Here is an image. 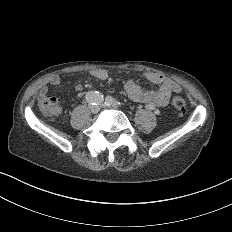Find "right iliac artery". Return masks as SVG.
Returning <instances> with one entry per match:
<instances>
[{
    "instance_id": "right-iliac-artery-1",
    "label": "right iliac artery",
    "mask_w": 232,
    "mask_h": 232,
    "mask_svg": "<svg viewBox=\"0 0 232 232\" xmlns=\"http://www.w3.org/2000/svg\"><path fill=\"white\" fill-rule=\"evenodd\" d=\"M85 99L92 105H99L103 102V95L99 91H88L85 93Z\"/></svg>"
}]
</instances>
